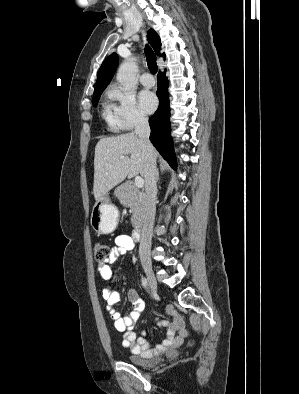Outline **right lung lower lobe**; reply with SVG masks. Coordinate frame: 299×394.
<instances>
[{
  "mask_svg": "<svg viewBox=\"0 0 299 394\" xmlns=\"http://www.w3.org/2000/svg\"><path fill=\"white\" fill-rule=\"evenodd\" d=\"M157 85V96L160 99V105L154 115L149 119L151 128L150 140L163 158L171 166L176 168V158L170 136L169 84L165 73L159 72L157 75Z\"/></svg>",
  "mask_w": 299,
  "mask_h": 394,
  "instance_id": "98d812e1",
  "label": "right lung lower lobe"
}]
</instances>
